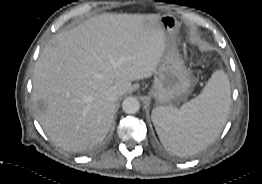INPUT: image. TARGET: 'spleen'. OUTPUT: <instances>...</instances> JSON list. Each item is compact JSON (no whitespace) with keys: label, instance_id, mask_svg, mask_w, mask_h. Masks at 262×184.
Returning a JSON list of instances; mask_svg holds the SVG:
<instances>
[{"label":"spleen","instance_id":"3e777b00","mask_svg":"<svg viewBox=\"0 0 262 184\" xmlns=\"http://www.w3.org/2000/svg\"><path fill=\"white\" fill-rule=\"evenodd\" d=\"M231 90L223 70L215 71L203 91L179 109L152 110V121L163 146L179 156L205 149L220 135L227 121Z\"/></svg>","mask_w":262,"mask_h":184}]
</instances>
